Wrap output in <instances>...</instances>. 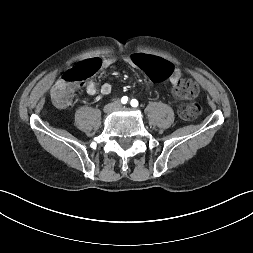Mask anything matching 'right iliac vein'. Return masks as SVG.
Returning <instances> with one entry per match:
<instances>
[{
  "label": "right iliac vein",
  "instance_id": "obj_1",
  "mask_svg": "<svg viewBox=\"0 0 253 253\" xmlns=\"http://www.w3.org/2000/svg\"><path fill=\"white\" fill-rule=\"evenodd\" d=\"M115 107H116V104L111 103V104H107L103 110L105 113H110L115 109Z\"/></svg>",
  "mask_w": 253,
  "mask_h": 253
}]
</instances>
